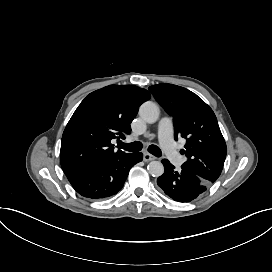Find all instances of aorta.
<instances>
[{
  "mask_svg": "<svg viewBox=\"0 0 272 272\" xmlns=\"http://www.w3.org/2000/svg\"><path fill=\"white\" fill-rule=\"evenodd\" d=\"M139 115L146 123L154 124L160 116L159 106L154 102H145L139 109ZM147 170L153 177H159L164 173L163 164L156 160L149 162Z\"/></svg>",
  "mask_w": 272,
  "mask_h": 272,
  "instance_id": "aorta-1",
  "label": "aorta"
}]
</instances>
